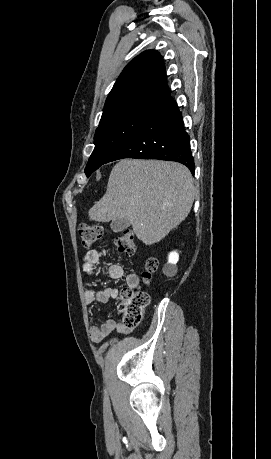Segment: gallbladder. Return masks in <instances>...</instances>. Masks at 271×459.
<instances>
[{
	"instance_id": "1",
	"label": "gallbladder",
	"mask_w": 271,
	"mask_h": 459,
	"mask_svg": "<svg viewBox=\"0 0 271 459\" xmlns=\"http://www.w3.org/2000/svg\"><path fill=\"white\" fill-rule=\"evenodd\" d=\"M130 226V222H128V220H123V218H121V220H112L111 224H110V228L113 229V231H122V229H126V228H129Z\"/></svg>"
}]
</instances>
